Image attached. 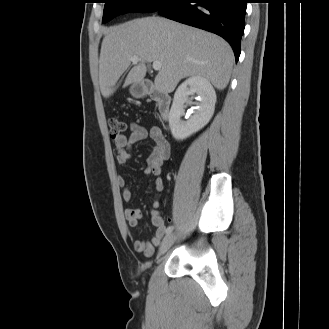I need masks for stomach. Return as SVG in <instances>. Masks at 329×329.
Segmentation results:
<instances>
[{"mask_svg":"<svg viewBox=\"0 0 329 329\" xmlns=\"http://www.w3.org/2000/svg\"><path fill=\"white\" fill-rule=\"evenodd\" d=\"M130 93L135 98L143 97L147 93V87L143 82H135L130 87Z\"/></svg>","mask_w":329,"mask_h":329,"instance_id":"0dacf381","label":"stomach"}]
</instances>
